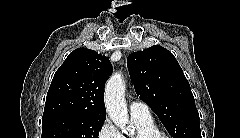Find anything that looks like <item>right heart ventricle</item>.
<instances>
[{"instance_id": "right-heart-ventricle-1", "label": "right heart ventricle", "mask_w": 240, "mask_h": 138, "mask_svg": "<svg viewBox=\"0 0 240 138\" xmlns=\"http://www.w3.org/2000/svg\"><path fill=\"white\" fill-rule=\"evenodd\" d=\"M132 119L136 126V133L132 136L123 138H144L147 134L159 132L151 117H132Z\"/></svg>"}]
</instances>
